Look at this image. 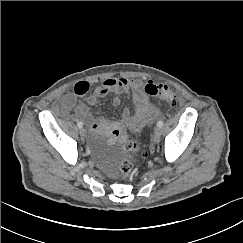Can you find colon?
<instances>
[{"mask_svg": "<svg viewBox=\"0 0 243 243\" xmlns=\"http://www.w3.org/2000/svg\"><path fill=\"white\" fill-rule=\"evenodd\" d=\"M147 95L160 100L166 107H175L180 103V96L168 85L156 81H148L144 86ZM126 156L119 164L120 175L128 178L133 172L132 156L139 153L141 156L145 152L141 149L140 144L136 140H126L123 145Z\"/></svg>", "mask_w": 243, "mask_h": 243, "instance_id": "5ec220e1", "label": "colon"}]
</instances>
